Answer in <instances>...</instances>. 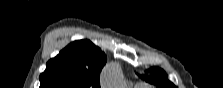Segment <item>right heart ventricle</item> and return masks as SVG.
Masks as SVG:
<instances>
[{
	"label": "right heart ventricle",
	"instance_id": "e07e8e85",
	"mask_svg": "<svg viewBox=\"0 0 223 88\" xmlns=\"http://www.w3.org/2000/svg\"><path fill=\"white\" fill-rule=\"evenodd\" d=\"M135 88H148V87H146V86H144V85H138V86H136Z\"/></svg>",
	"mask_w": 223,
	"mask_h": 88
}]
</instances>
